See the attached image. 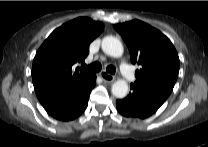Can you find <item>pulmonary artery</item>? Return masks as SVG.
<instances>
[{
    "label": "pulmonary artery",
    "mask_w": 208,
    "mask_h": 147,
    "mask_svg": "<svg viewBox=\"0 0 208 147\" xmlns=\"http://www.w3.org/2000/svg\"><path fill=\"white\" fill-rule=\"evenodd\" d=\"M120 70L123 74V76L128 80V81H132L134 79V75L133 72L131 70V68L129 67V65L126 62H122L120 65Z\"/></svg>",
    "instance_id": "pulmonary-artery-1"
}]
</instances>
